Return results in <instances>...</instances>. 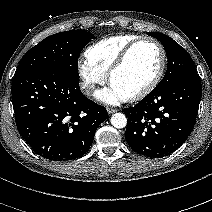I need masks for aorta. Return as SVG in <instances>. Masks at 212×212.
<instances>
[{
	"instance_id": "aorta-1",
	"label": "aorta",
	"mask_w": 212,
	"mask_h": 212,
	"mask_svg": "<svg viewBox=\"0 0 212 212\" xmlns=\"http://www.w3.org/2000/svg\"><path fill=\"white\" fill-rule=\"evenodd\" d=\"M111 124L115 128H124L127 125V118L122 113H115L111 117Z\"/></svg>"
}]
</instances>
